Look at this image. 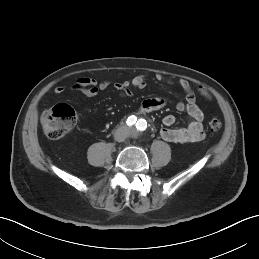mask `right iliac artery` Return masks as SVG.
Returning <instances> with one entry per match:
<instances>
[{
    "label": "right iliac artery",
    "instance_id": "82829eb1",
    "mask_svg": "<svg viewBox=\"0 0 259 259\" xmlns=\"http://www.w3.org/2000/svg\"><path fill=\"white\" fill-rule=\"evenodd\" d=\"M136 120L137 118L133 115V116H130L128 119H127V124L128 125H133L136 123Z\"/></svg>",
    "mask_w": 259,
    "mask_h": 259
}]
</instances>
